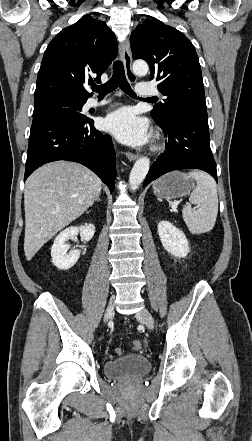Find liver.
Here are the masks:
<instances>
[{"label":"liver","mask_w":252,"mask_h":441,"mask_svg":"<svg viewBox=\"0 0 252 441\" xmlns=\"http://www.w3.org/2000/svg\"><path fill=\"white\" fill-rule=\"evenodd\" d=\"M101 189L100 178L79 163L56 161L34 171L24 190L26 259L84 214Z\"/></svg>","instance_id":"obj_1"}]
</instances>
